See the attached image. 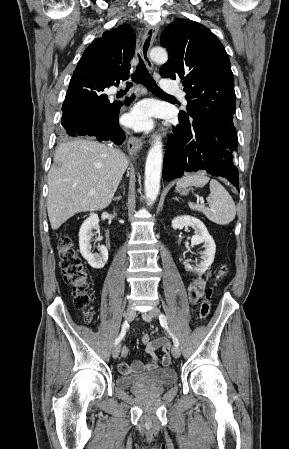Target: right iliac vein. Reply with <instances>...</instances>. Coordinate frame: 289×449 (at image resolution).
I'll use <instances>...</instances> for the list:
<instances>
[{
	"mask_svg": "<svg viewBox=\"0 0 289 449\" xmlns=\"http://www.w3.org/2000/svg\"><path fill=\"white\" fill-rule=\"evenodd\" d=\"M125 318L130 322L134 319L135 317V309L132 306H129L124 314ZM120 354V345L117 344L114 346L113 350H112V356L113 358H118Z\"/></svg>",
	"mask_w": 289,
	"mask_h": 449,
	"instance_id": "1",
	"label": "right iliac vein"
}]
</instances>
